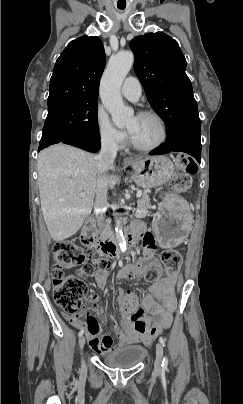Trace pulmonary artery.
I'll return each instance as SVG.
<instances>
[{"mask_svg":"<svg viewBox=\"0 0 243 404\" xmlns=\"http://www.w3.org/2000/svg\"><path fill=\"white\" fill-rule=\"evenodd\" d=\"M122 95L129 100H137L142 94L140 80L135 76H128L124 79L121 86Z\"/></svg>","mask_w":243,"mask_h":404,"instance_id":"obj_1","label":"pulmonary artery"}]
</instances>
